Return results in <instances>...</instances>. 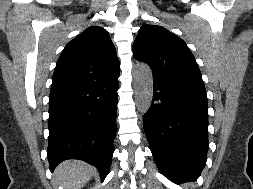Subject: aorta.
Listing matches in <instances>:
<instances>
[{
    "label": "aorta",
    "instance_id": "aorta-1",
    "mask_svg": "<svg viewBox=\"0 0 253 189\" xmlns=\"http://www.w3.org/2000/svg\"><path fill=\"white\" fill-rule=\"evenodd\" d=\"M135 84V102L139 112L146 113L153 98V76L148 65L139 63L133 71Z\"/></svg>",
    "mask_w": 253,
    "mask_h": 189
}]
</instances>
